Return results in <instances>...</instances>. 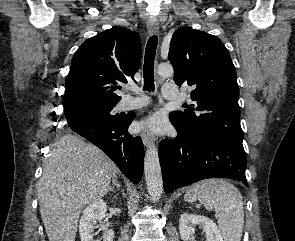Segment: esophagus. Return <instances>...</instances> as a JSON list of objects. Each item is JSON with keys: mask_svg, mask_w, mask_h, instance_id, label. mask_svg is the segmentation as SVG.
<instances>
[{"mask_svg": "<svg viewBox=\"0 0 295 241\" xmlns=\"http://www.w3.org/2000/svg\"><path fill=\"white\" fill-rule=\"evenodd\" d=\"M147 29L150 35H156L159 32V23L157 20L149 19L147 21ZM141 138L144 146H148L153 143L154 139L148 131H144L141 134Z\"/></svg>", "mask_w": 295, "mask_h": 241, "instance_id": "34e87169", "label": "esophagus"}]
</instances>
